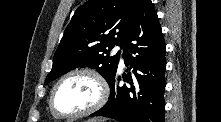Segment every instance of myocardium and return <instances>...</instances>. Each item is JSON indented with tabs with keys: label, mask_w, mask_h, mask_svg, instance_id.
<instances>
[{
	"label": "myocardium",
	"mask_w": 221,
	"mask_h": 122,
	"mask_svg": "<svg viewBox=\"0 0 221 122\" xmlns=\"http://www.w3.org/2000/svg\"><path fill=\"white\" fill-rule=\"evenodd\" d=\"M76 75H85L91 77L97 84L98 89H99V95L97 100L95 101L94 104H92L90 107L76 113H63L60 112L55 104H54V96L57 88L60 86L62 82L67 80L70 77L76 76ZM109 97V86L106 81V79L96 70L91 69V68H77L68 71L67 73L63 74L53 85L50 96H49V107L51 112L60 118H79V117H84L87 115H90L97 110H99L101 107L104 106V104L107 102Z\"/></svg>",
	"instance_id": "f54148a6"
}]
</instances>
